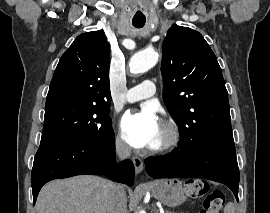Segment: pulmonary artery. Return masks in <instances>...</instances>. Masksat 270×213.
<instances>
[{
    "label": "pulmonary artery",
    "instance_id": "1",
    "mask_svg": "<svg viewBox=\"0 0 270 213\" xmlns=\"http://www.w3.org/2000/svg\"><path fill=\"white\" fill-rule=\"evenodd\" d=\"M156 92V84L151 80H144L140 85L129 89L125 94V100L129 103L148 99Z\"/></svg>",
    "mask_w": 270,
    "mask_h": 213
}]
</instances>
